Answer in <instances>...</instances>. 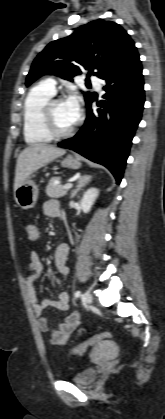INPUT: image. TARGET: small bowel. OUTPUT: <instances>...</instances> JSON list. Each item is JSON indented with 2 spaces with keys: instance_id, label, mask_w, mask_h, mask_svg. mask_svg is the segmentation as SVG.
Instances as JSON below:
<instances>
[{
  "instance_id": "1",
  "label": "small bowel",
  "mask_w": 165,
  "mask_h": 419,
  "mask_svg": "<svg viewBox=\"0 0 165 419\" xmlns=\"http://www.w3.org/2000/svg\"><path fill=\"white\" fill-rule=\"evenodd\" d=\"M43 212L46 216L56 217L60 215V205L56 200L50 199L43 204ZM33 226L35 235H31L29 229ZM27 235L30 240L39 238V230L35 224L27 226ZM70 254V247L66 243L59 244L54 253V261L58 275L66 277L69 275L67 260ZM42 272V263L38 251H33L30 255V261L27 268L24 282L29 300L33 305L34 312L37 316L38 325L42 332H49V341L52 345L65 346L68 340L73 336L76 329L81 324V314L73 312L58 324L56 328H52L50 322L43 316V312L47 308H55L58 310H67L69 307L70 297L66 291H61L57 299L39 300L35 289V282Z\"/></svg>"
}]
</instances>
